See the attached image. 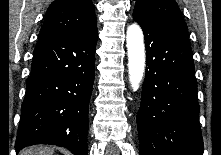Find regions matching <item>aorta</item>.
Here are the masks:
<instances>
[{
	"label": "aorta",
	"mask_w": 221,
	"mask_h": 155,
	"mask_svg": "<svg viewBox=\"0 0 221 155\" xmlns=\"http://www.w3.org/2000/svg\"><path fill=\"white\" fill-rule=\"evenodd\" d=\"M128 51L129 81L134 91L139 87L145 71V47L143 32L137 24H132L126 34Z\"/></svg>",
	"instance_id": "1"
}]
</instances>
